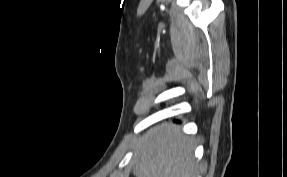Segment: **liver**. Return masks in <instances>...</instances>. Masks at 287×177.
Listing matches in <instances>:
<instances>
[{
	"instance_id": "obj_1",
	"label": "liver",
	"mask_w": 287,
	"mask_h": 177,
	"mask_svg": "<svg viewBox=\"0 0 287 177\" xmlns=\"http://www.w3.org/2000/svg\"><path fill=\"white\" fill-rule=\"evenodd\" d=\"M193 138L172 124L151 128L136 147L133 173L136 177H197Z\"/></svg>"
}]
</instances>
